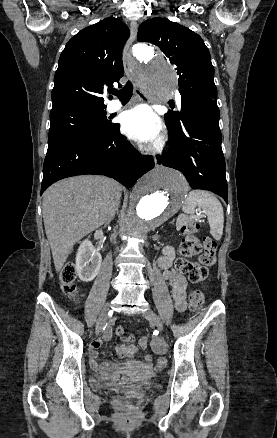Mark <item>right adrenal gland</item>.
<instances>
[{
	"mask_svg": "<svg viewBox=\"0 0 277 438\" xmlns=\"http://www.w3.org/2000/svg\"><path fill=\"white\" fill-rule=\"evenodd\" d=\"M115 214H118V208H117ZM115 214H113V216H112V218H110L109 222H111V220H114V216H115Z\"/></svg>",
	"mask_w": 277,
	"mask_h": 438,
	"instance_id": "right-adrenal-gland-1",
	"label": "right adrenal gland"
}]
</instances>
